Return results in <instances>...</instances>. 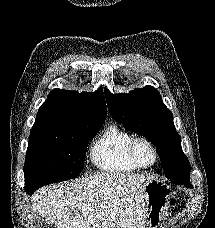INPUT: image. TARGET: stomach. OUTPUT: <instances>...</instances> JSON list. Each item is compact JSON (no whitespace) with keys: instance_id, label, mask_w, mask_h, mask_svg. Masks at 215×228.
I'll use <instances>...</instances> for the list:
<instances>
[{"instance_id":"0dacf381","label":"stomach","mask_w":215,"mask_h":228,"mask_svg":"<svg viewBox=\"0 0 215 228\" xmlns=\"http://www.w3.org/2000/svg\"><path fill=\"white\" fill-rule=\"evenodd\" d=\"M173 196V190L162 180H151L143 186L146 228H162Z\"/></svg>"}]
</instances>
